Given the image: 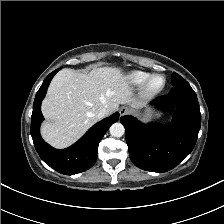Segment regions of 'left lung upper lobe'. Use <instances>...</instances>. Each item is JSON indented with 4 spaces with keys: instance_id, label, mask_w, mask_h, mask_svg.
Returning <instances> with one entry per match:
<instances>
[{
    "instance_id": "left-lung-upper-lobe-1",
    "label": "left lung upper lobe",
    "mask_w": 224,
    "mask_h": 224,
    "mask_svg": "<svg viewBox=\"0 0 224 224\" xmlns=\"http://www.w3.org/2000/svg\"><path fill=\"white\" fill-rule=\"evenodd\" d=\"M186 81L185 79H183L180 75H178L177 73H173L172 78H171V83L173 86L182 83Z\"/></svg>"
}]
</instances>
